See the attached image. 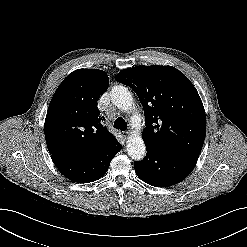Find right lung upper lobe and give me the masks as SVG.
Segmentation results:
<instances>
[{
    "label": "right lung upper lobe",
    "mask_w": 247,
    "mask_h": 247,
    "mask_svg": "<svg viewBox=\"0 0 247 247\" xmlns=\"http://www.w3.org/2000/svg\"><path fill=\"white\" fill-rule=\"evenodd\" d=\"M108 85V76L97 69L76 70L62 81L45 119V139L51 155L85 161L117 141L103 126L104 118L97 108Z\"/></svg>",
    "instance_id": "cb5924a9"
}]
</instances>
